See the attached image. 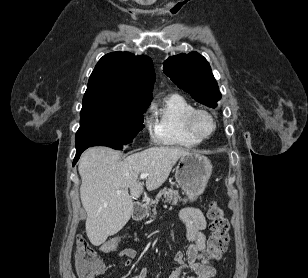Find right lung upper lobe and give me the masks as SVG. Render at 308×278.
<instances>
[{
  "label": "right lung upper lobe",
  "instance_id": "cb5924a9",
  "mask_svg": "<svg viewBox=\"0 0 308 278\" xmlns=\"http://www.w3.org/2000/svg\"><path fill=\"white\" fill-rule=\"evenodd\" d=\"M155 72L147 56L112 52L93 70L80 116L133 111L150 105Z\"/></svg>",
  "mask_w": 308,
  "mask_h": 278
}]
</instances>
